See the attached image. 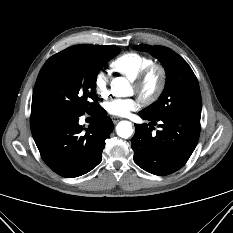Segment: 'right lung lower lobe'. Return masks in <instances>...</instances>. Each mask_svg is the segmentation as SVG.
Masks as SVG:
<instances>
[{
	"instance_id": "right-lung-lower-lobe-1",
	"label": "right lung lower lobe",
	"mask_w": 233,
	"mask_h": 233,
	"mask_svg": "<svg viewBox=\"0 0 233 233\" xmlns=\"http://www.w3.org/2000/svg\"><path fill=\"white\" fill-rule=\"evenodd\" d=\"M97 117L84 130L78 124L83 114H54L30 119L31 132L44 162L63 177H78L102 160L105 140L113 123L98 104L88 112Z\"/></svg>"
}]
</instances>
